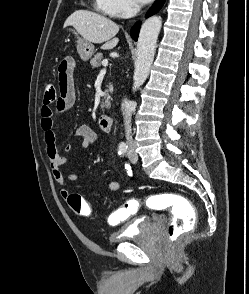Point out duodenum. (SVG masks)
Returning <instances> with one entry per match:
<instances>
[{
  "mask_svg": "<svg viewBox=\"0 0 249 294\" xmlns=\"http://www.w3.org/2000/svg\"><path fill=\"white\" fill-rule=\"evenodd\" d=\"M97 125L100 130L104 132H110L113 125L112 117L106 114L100 115L97 118Z\"/></svg>",
  "mask_w": 249,
  "mask_h": 294,
  "instance_id": "410a0bca",
  "label": "duodenum"
}]
</instances>
